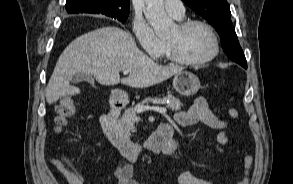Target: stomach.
I'll return each mask as SVG.
<instances>
[{"instance_id":"obj_1","label":"stomach","mask_w":293,"mask_h":184,"mask_svg":"<svg viewBox=\"0 0 293 184\" xmlns=\"http://www.w3.org/2000/svg\"><path fill=\"white\" fill-rule=\"evenodd\" d=\"M173 87L183 96H192L198 92L200 81L193 73L189 71H181L175 75L173 79ZM112 95L115 97H121L123 93L119 90H114Z\"/></svg>"}]
</instances>
